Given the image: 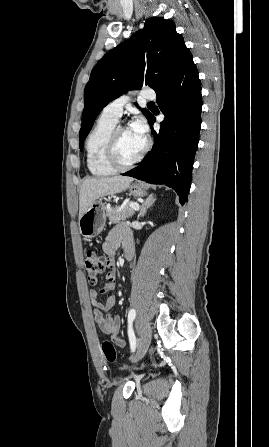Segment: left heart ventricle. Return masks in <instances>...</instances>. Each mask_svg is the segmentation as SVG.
Segmentation results:
<instances>
[{"mask_svg": "<svg viewBox=\"0 0 269 447\" xmlns=\"http://www.w3.org/2000/svg\"><path fill=\"white\" fill-rule=\"evenodd\" d=\"M117 146L120 160L129 163L135 160L146 146V137L131 127H125L118 133Z\"/></svg>", "mask_w": 269, "mask_h": 447, "instance_id": "1", "label": "left heart ventricle"}]
</instances>
